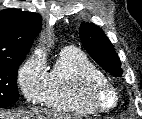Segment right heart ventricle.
Here are the masks:
<instances>
[{
    "label": "right heart ventricle",
    "instance_id": "right-heart-ventricle-1",
    "mask_svg": "<svg viewBox=\"0 0 142 119\" xmlns=\"http://www.w3.org/2000/svg\"><path fill=\"white\" fill-rule=\"evenodd\" d=\"M107 82L102 71L76 47L63 49L47 72L41 101L45 106L77 115H93L97 110L87 100L94 83Z\"/></svg>",
    "mask_w": 142,
    "mask_h": 119
}]
</instances>
